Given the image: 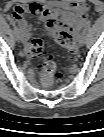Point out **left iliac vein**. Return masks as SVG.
Returning <instances> with one entry per match:
<instances>
[{
	"label": "left iliac vein",
	"mask_w": 104,
	"mask_h": 137,
	"mask_svg": "<svg viewBox=\"0 0 104 137\" xmlns=\"http://www.w3.org/2000/svg\"><path fill=\"white\" fill-rule=\"evenodd\" d=\"M85 43V39H84V35H80L79 39H78V44L79 46H83Z\"/></svg>",
	"instance_id": "1"
}]
</instances>
